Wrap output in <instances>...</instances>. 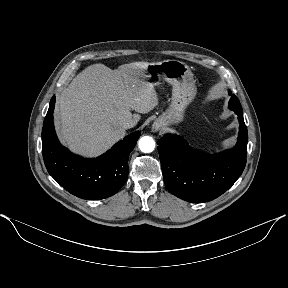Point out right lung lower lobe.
I'll use <instances>...</instances> for the list:
<instances>
[{
  "label": "right lung lower lobe",
  "mask_w": 288,
  "mask_h": 288,
  "mask_svg": "<svg viewBox=\"0 0 288 288\" xmlns=\"http://www.w3.org/2000/svg\"><path fill=\"white\" fill-rule=\"evenodd\" d=\"M54 105L55 96L50 101L42 129V153L49 174L79 198L99 200L117 193L126 182L128 157L140 131L126 136L100 157L82 158L59 143L53 124Z\"/></svg>",
  "instance_id": "98d812e1"
}]
</instances>
